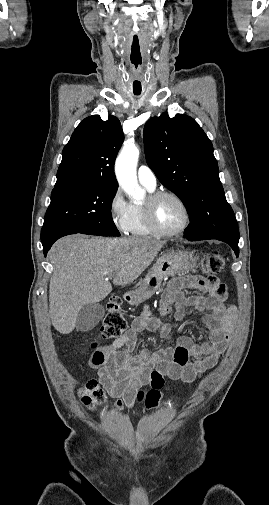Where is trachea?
<instances>
[{
    "label": "trachea",
    "instance_id": "3493384b",
    "mask_svg": "<svg viewBox=\"0 0 269 505\" xmlns=\"http://www.w3.org/2000/svg\"><path fill=\"white\" fill-rule=\"evenodd\" d=\"M135 95H140V92H134Z\"/></svg>",
    "mask_w": 269,
    "mask_h": 505
}]
</instances>
